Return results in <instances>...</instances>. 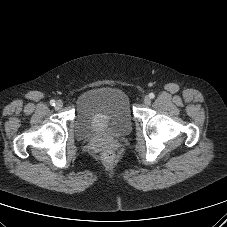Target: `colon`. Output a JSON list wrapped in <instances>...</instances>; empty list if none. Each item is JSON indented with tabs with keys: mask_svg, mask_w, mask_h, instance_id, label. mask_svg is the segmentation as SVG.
<instances>
[{
	"mask_svg": "<svg viewBox=\"0 0 227 227\" xmlns=\"http://www.w3.org/2000/svg\"><path fill=\"white\" fill-rule=\"evenodd\" d=\"M103 159L104 161L106 162H112L113 159H114V153L110 150H106L104 153H103Z\"/></svg>",
	"mask_w": 227,
	"mask_h": 227,
	"instance_id": "5ec220e1",
	"label": "colon"
}]
</instances>
